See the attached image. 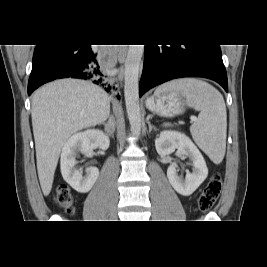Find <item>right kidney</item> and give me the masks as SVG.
<instances>
[{
  "label": "right kidney",
  "mask_w": 267,
  "mask_h": 267,
  "mask_svg": "<svg viewBox=\"0 0 267 267\" xmlns=\"http://www.w3.org/2000/svg\"><path fill=\"white\" fill-rule=\"evenodd\" d=\"M109 138L102 131L96 129L86 130L71 136L65 143L61 153V173L64 180L76 191L80 193L88 192L99 176V170L96 167H90L83 176L75 165L76 153L87 154L90 150L101 148L108 149Z\"/></svg>",
  "instance_id": "ca27d5eb"
}]
</instances>
